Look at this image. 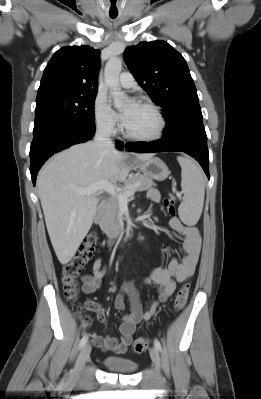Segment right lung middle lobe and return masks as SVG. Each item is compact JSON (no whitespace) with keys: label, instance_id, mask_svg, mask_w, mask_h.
Here are the masks:
<instances>
[{"label":"right lung middle lobe","instance_id":"dd1d6c3e","mask_svg":"<svg viewBox=\"0 0 261 399\" xmlns=\"http://www.w3.org/2000/svg\"><path fill=\"white\" fill-rule=\"evenodd\" d=\"M96 94L79 95L59 93L37 97L34 123L65 118L87 129H95L94 103Z\"/></svg>","mask_w":261,"mask_h":399}]
</instances>
